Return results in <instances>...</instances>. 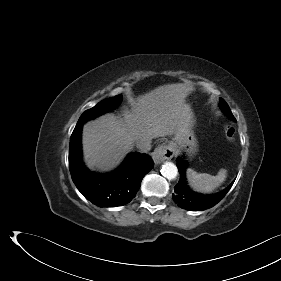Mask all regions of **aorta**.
Instances as JSON below:
<instances>
[{"label":"aorta","instance_id":"aorta-1","mask_svg":"<svg viewBox=\"0 0 281 281\" xmlns=\"http://www.w3.org/2000/svg\"><path fill=\"white\" fill-rule=\"evenodd\" d=\"M161 174L168 180L175 179L178 175V169L172 162H165L161 169Z\"/></svg>","mask_w":281,"mask_h":281}]
</instances>
